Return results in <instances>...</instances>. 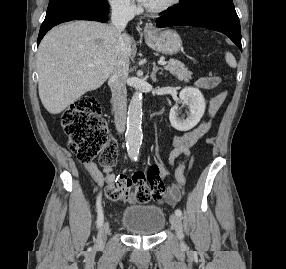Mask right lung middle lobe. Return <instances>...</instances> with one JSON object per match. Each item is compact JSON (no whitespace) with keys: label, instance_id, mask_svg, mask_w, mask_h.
<instances>
[{"label":"right lung middle lobe","instance_id":"1","mask_svg":"<svg viewBox=\"0 0 286 269\" xmlns=\"http://www.w3.org/2000/svg\"><path fill=\"white\" fill-rule=\"evenodd\" d=\"M74 8H89L101 12H109L107 0H50L46 16Z\"/></svg>","mask_w":286,"mask_h":269}]
</instances>
